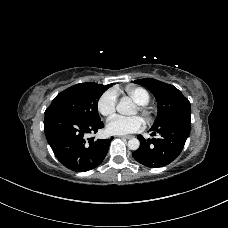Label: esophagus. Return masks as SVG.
<instances>
[{
  "instance_id": "esophagus-1",
  "label": "esophagus",
  "mask_w": 228,
  "mask_h": 228,
  "mask_svg": "<svg viewBox=\"0 0 228 228\" xmlns=\"http://www.w3.org/2000/svg\"><path fill=\"white\" fill-rule=\"evenodd\" d=\"M119 138H122V139H130L132 138V136L130 135H126V136H118Z\"/></svg>"
}]
</instances>
